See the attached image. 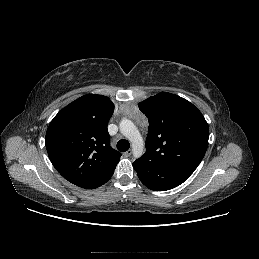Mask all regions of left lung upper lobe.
<instances>
[{"mask_svg": "<svg viewBox=\"0 0 259 259\" xmlns=\"http://www.w3.org/2000/svg\"><path fill=\"white\" fill-rule=\"evenodd\" d=\"M138 106L149 120L146 152L141 159L192 174L206 153L209 139L208 124L198 108L167 92Z\"/></svg>", "mask_w": 259, "mask_h": 259, "instance_id": "obj_1", "label": "left lung upper lobe"}]
</instances>
